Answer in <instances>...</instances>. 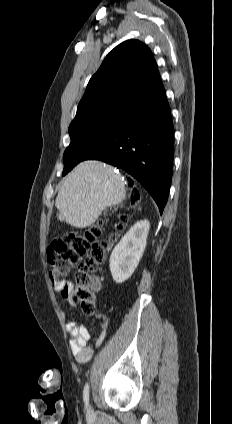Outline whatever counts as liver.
<instances>
[{
	"mask_svg": "<svg viewBox=\"0 0 232 424\" xmlns=\"http://www.w3.org/2000/svg\"><path fill=\"white\" fill-rule=\"evenodd\" d=\"M126 199L123 177L101 161L79 163L63 180L55 206L57 218L76 228L92 225L102 211Z\"/></svg>",
	"mask_w": 232,
	"mask_h": 424,
	"instance_id": "6515ba94",
	"label": "liver"
}]
</instances>
